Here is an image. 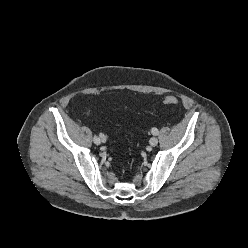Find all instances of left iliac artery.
Instances as JSON below:
<instances>
[{
  "label": "left iliac artery",
  "mask_w": 248,
  "mask_h": 248,
  "mask_svg": "<svg viewBox=\"0 0 248 248\" xmlns=\"http://www.w3.org/2000/svg\"><path fill=\"white\" fill-rule=\"evenodd\" d=\"M151 132L153 135H158V133H159L157 128H152Z\"/></svg>",
  "instance_id": "left-iliac-artery-1"
}]
</instances>
